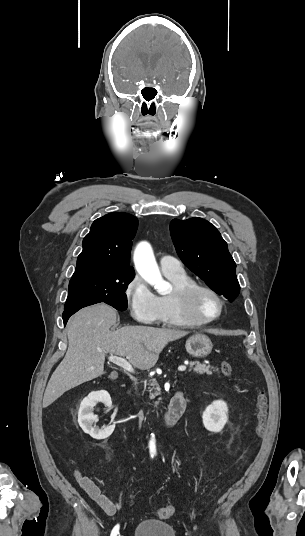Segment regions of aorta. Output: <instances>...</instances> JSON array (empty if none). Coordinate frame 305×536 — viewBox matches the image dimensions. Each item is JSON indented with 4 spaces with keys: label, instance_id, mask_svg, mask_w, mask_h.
I'll use <instances>...</instances> for the list:
<instances>
[{
    "label": "aorta",
    "instance_id": "1",
    "mask_svg": "<svg viewBox=\"0 0 305 536\" xmlns=\"http://www.w3.org/2000/svg\"><path fill=\"white\" fill-rule=\"evenodd\" d=\"M134 264L140 276L159 293H166L169 283L160 273L153 250L148 242H141L134 251Z\"/></svg>",
    "mask_w": 305,
    "mask_h": 536
}]
</instances>
